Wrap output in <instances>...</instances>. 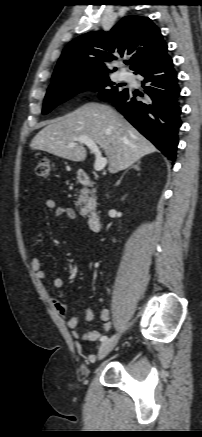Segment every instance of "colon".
<instances>
[{
  "label": "colon",
  "mask_w": 202,
  "mask_h": 437,
  "mask_svg": "<svg viewBox=\"0 0 202 437\" xmlns=\"http://www.w3.org/2000/svg\"><path fill=\"white\" fill-rule=\"evenodd\" d=\"M36 174L39 177H48L50 174V163L48 159H41L36 165Z\"/></svg>",
  "instance_id": "obj_1"
}]
</instances>
